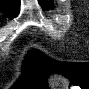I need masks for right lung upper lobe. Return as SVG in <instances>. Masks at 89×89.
<instances>
[{
  "label": "right lung upper lobe",
  "instance_id": "1",
  "mask_svg": "<svg viewBox=\"0 0 89 89\" xmlns=\"http://www.w3.org/2000/svg\"><path fill=\"white\" fill-rule=\"evenodd\" d=\"M19 6L20 0H4L1 5V8L5 15H8L9 17L13 18L18 15Z\"/></svg>",
  "mask_w": 89,
  "mask_h": 89
}]
</instances>
